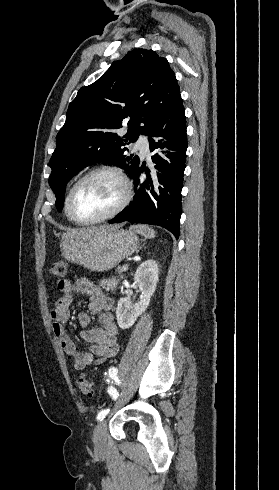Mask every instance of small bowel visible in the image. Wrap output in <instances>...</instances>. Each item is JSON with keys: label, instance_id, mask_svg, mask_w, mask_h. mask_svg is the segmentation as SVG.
I'll return each instance as SVG.
<instances>
[{"label": "small bowel", "instance_id": "1", "mask_svg": "<svg viewBox=\"0 0 279 490\" xmlns=\"http://www.w3.org/2000/svg\"><path fill=\"white\" fill-rule=\"evenodd\" d=\"M57 287L62 295L50 309L52 331L60 341L65 353L72 359L75 370H82L95 362L113 358L118 351V327L113 319L111 310L114 300L107 296L101 288L91 281L81 278L75 282L61 279ZM75 294L88 297V311L78 314L82 327L81 337L90 344L89 351L81 353L65 329V323L70 319V305ZM91 314L99 317V326L86 328L91 322Z\"/></svg>", "mask_w": 279, "mask_h": 490}]
</instances>
